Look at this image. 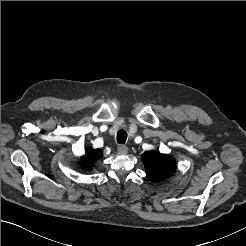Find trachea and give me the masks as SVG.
<instances>
[{
  "mask_svg": "<svg viewBox=\"0 0 246 246\" xmlns=\"http://www.w3.org/2000/svg\"><path fill=\"white\" fill-rule=\"evenodd\" d=\"M127 139V132L123 129L117 132V142L120 144H125Z\"/></svg>",
  "mask_w": 246,
  "mask_h": 246,
  "instance_id": "obj_1",
  "label": "trachea"
}]
</instances>
